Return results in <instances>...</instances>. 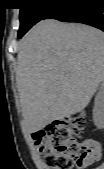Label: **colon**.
<instances>
[{"instance_id":"1","label":"colon","mask_w":104,"mask_h":169,"mask_svg":"<svg viewBox=\"0 0 104 169\" xmlns=\"http://www.w3.org/2000/svg\"><path fill=\"white\" fill-rule=\"evenodd\" d=\"M85 124L84 113H79L34 133V141L51 169H81L98 160L100 153L93 141L79 138Z\"/></svg>"}]
</instances>
